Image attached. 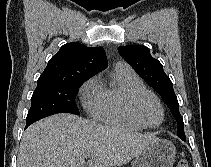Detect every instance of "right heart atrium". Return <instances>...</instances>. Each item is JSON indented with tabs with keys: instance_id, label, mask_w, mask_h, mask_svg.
Instances as JSON below:
<instances>
[{
	"instance_id": "d8ad5b80",
	"label": "right heart atrium",
	"mask_w": 211,
	"mask_h": 167,
	"mask_svg": "<svg viewBox=\"0 0 211 167\" xmlns=\"http://www.w3.org/2000/svg\"><path fill=\"white\" fill-rule=\"evenodd\" d=\"M100 80L98 76H93L88 79L80 89L81 101L84 108L93 112L98 105L100 97Z\"/></svg>"
}]
</instances>
